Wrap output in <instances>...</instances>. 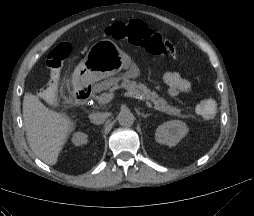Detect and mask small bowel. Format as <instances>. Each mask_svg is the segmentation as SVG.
Masks as SVG:
<instances>
[{
  "instance_id": "obj_1",
  "label": "small bowel",
  "mask_w": 254,
  "mask_h": 216,
  "mask_svg": "<svg viewBox=\"0 0 254 216\" xmlns=\"http://www.w3.org/2000/svg\"><path fill=\"white\" fill-rule=\"evenodd\" d=\"M162 44L169 52V55L171 56L172 61L178 62L179 54L168 37L162 38ZM163 81L167 86V94L170 97H175L181 92L188 90L190 87L189 80L184 78L177 72H166L163 76Z\"/></svg>"
}]
</instances>
